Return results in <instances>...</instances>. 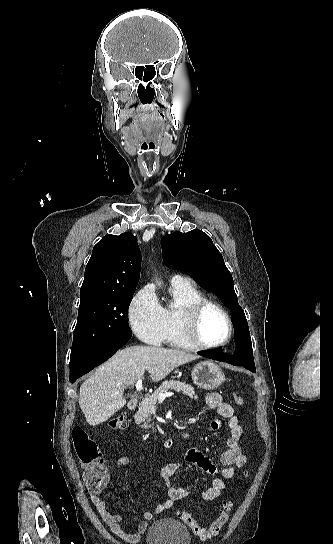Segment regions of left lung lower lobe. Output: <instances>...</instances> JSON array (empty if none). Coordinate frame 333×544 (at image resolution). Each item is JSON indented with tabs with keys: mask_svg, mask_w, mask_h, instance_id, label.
<instances>
[{
	"mask_svg": "<svg viewBox=\"0 0 333 544\" xmlns=\"http://www.w3.org/2000/svg\"><path fill=\"white\" fill-rule=\"evenodd\" d=\"M244 352L245 351L242 348H237V350L232 356L224 354L222 352V349L200 351L198 352V354L213 360L227 362L232 365L243 366L246 369L252 372H255L254 362H248V361L239 359V355L243 354Z\"/></svg>",
	"mask_w": 333,
	"mask_h": 544,
	"instance_id": "left-lung-lower-lobe-1",
	"label": "left lung lower lobe"
}]
</instances>
